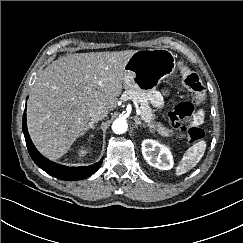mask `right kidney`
<instances>
[{"label":"right kidney","mask_w":243,"mask_h":243,"mask_svg":"<svg viewBox=\"0 0 243 243\" xmlns=\"http://www.w3.org/2000/svg\"><path fill=\"white\" fill-rule=\"evenodd\" d=\"M80 154H84V151H83V150H81V151H80Z\"/></svg>","instance_id":"1"}]
</instances>
